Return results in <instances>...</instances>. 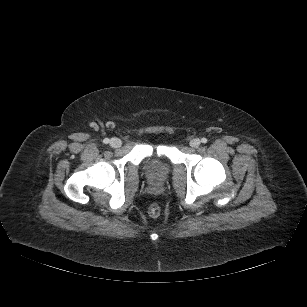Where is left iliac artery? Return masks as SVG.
<instances>
[{"mask_svg":"<svg viewBox=\"0 0 307 307\" xmlns=\"http://www.w3.org/2000/svg\"><path fill=\"white\" fill-rule=\"evenodd\" d=\"M201 142L205 144V143H207V139L206 138H202Z\"/></svg>","mask_w":307,"mask_h":307,"instance_id":"left-iliac-artery-1","label":"left iliac artery"}]
</instances>
